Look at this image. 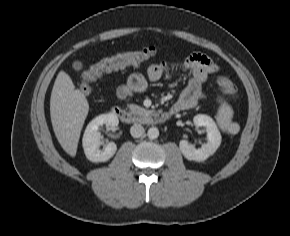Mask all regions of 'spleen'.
Returning a JSON list of instances; mask_svg holds the SVG:
<instances>
[{
  "label": "spleen",
  "mask_w": 290,
  "mask_h": 236,
  "mask_svg": "<svg viewBox=\"0 0 290 236\" xmlns=\"http://www.w3.org/2000/svg\"><path fill=\"white\" fill-rule=\"evenodd\" d=\"M232 116H233L232 108L225 102L222 103L216 117L222 129L224 130L227 129V127L230 125Z\"/></svg>",
  "instance_id": "3e777b00"
}]
</instances>
